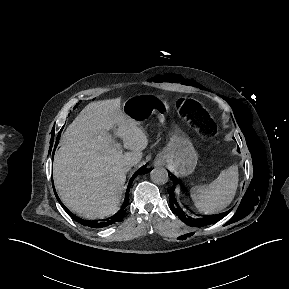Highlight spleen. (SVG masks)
<instances>
[{"label": "spleen", "instance_id": "3e777b00", "mask_svg": "<svg viewBox=\"0 0 289 289\" xmlns=\"http://www.w3.org/2000/svg\"><path fill=\"white\" fill-rule=\"evenodd\" d=\"M238 181V167L232 165L221 171L206 188L193 187L191 197L196 208L208 214L221 213L233 201Z\"/></svg>", "mask_w": 289, "mask_h": 289}]
</instances>
